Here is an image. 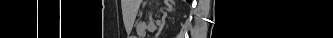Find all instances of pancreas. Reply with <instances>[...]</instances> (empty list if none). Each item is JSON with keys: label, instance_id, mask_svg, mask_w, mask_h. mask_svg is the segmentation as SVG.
I'll return each mask as SVG.
<instances>
[{"label": "pancreas", "instance_id": "obj_1", "mask_svg": "<svg viewBox=\"0 0 333 38\" xmlns=\"http://www.w3.org/2000/svg\"><path fill=\"white\" fill-rule=\"evenodd\" d=\"M144 29H145V25L141 23V24L139 25V33H140L141 35L144 34Z\"/></svg>", "mask_w": 333, "mask_h": 38}]
</instances>
